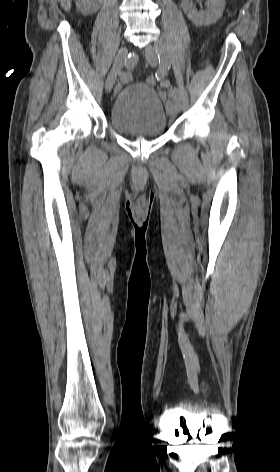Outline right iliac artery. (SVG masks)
<instances>
[{"mask_svg":"<svg viewBox=\"0 0 280 472\" xmlns=\"http://www.w3.org/2000/svg\"><path fill=\"white\" fill-rule=\"evenodd\" d=\"M138 56L136 54H129L128 57L125 59V67L126 71H122L119 73V78L122 82H127L131 79V71L138 63Z\"/></svg>","mask_w":280,"mask_h":472,"instance_id":"1","label":"right iliac artery"}]
</instances>
